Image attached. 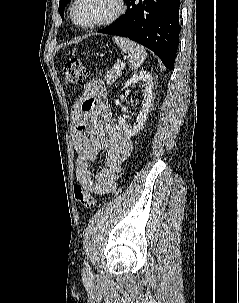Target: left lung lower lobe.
<instances>
[{
    "instance_id": "0a47b994",
    "label": "left lung lower lobe",
    "mask_w": 239,
    "mask_h": 303,
    "mask_svg": "<svg viewBox=\"0 0 239 303\" xmlns=\"http://www.w3.org/2000/svg\"><path fill=\"white\" fill-rule=\"evenodd\" d=\"M125 15L100 33L128 37L152 50L174 69L179 43L180 0H126Z\"/></svg>"
}]
</instances>
